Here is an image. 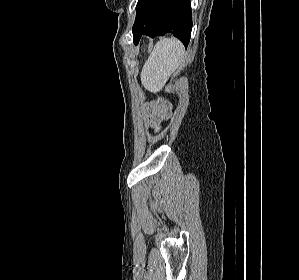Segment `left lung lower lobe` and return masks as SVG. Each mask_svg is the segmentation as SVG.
I'll list each match as a JSON object with an SVG mask.
<instances>
[{
    "mask_svg": "<svg viewBox=\"0 0 299 280\" xmlns=\"http://www.w3.org/2000/svg\"><path fill=\"white\" fill-rule=\"evenodd\" d=\"M133 25L134 43L143 34L152 38L171 32L188 46L192 29L190 0H138Z\"/></svg>",
    "mask_w": 299,
    "mask_h": 280,
    "instance_id": "obj_1",
    "label": "left lung lower lobe"
}]
</instances>
